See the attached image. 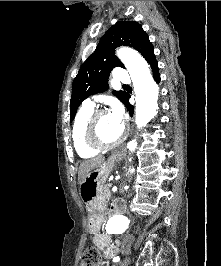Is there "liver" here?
<instances>
[{
    "label": "liver",
    "mask_w": 221,
    "mask_h": 266,
    "mask_svg": "<svg viewBox=\"0 0 221 266\" xmlns=\"http://www.w3.org/2000/svg\"><path fill=\"white\" fill-rule=\"evenodd\" d=\"M104 163H105L104 156H97L95 158L83 161L79 167V173H78L79 182H81L90 171H92L93 169L99 167Z\"/></svg>",
    "instance_id": "obj_1"
}]
</instances>
